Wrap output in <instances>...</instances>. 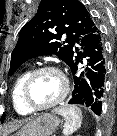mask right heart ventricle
Wrapping results in <instances>:
<instances>
[{
  "label": "right heart ventricle",
  "mask_w": 117,
  "mask_h": 136,
  "mask_svg": "<svg viewBox=\"0 0 117 136\" xmlns=\"http://www.w3.org/2000/svg\"><path fill=\"white\" fill-rule=\"evenodd\" d=\"M29 74L30 71H24L20 75H18L13 83L11 91L13 107L15 111L22 116L30 115L31 113H33L23 101V87Z\"/></svg>",
  "instance_id": "obj_1"
}]
</instances>
